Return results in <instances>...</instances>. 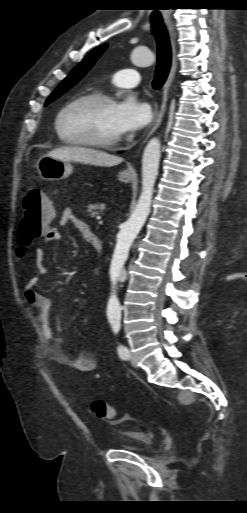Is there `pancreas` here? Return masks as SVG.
Returning <instances> with one entry per match:
<instances>
[{
    "instance_id": "obj_1",
    "label": "pancreas",
    "mask_w": 247,
    "mask_h": 513,
    "mask_svg": "<svg viewBox=\"0 0 247 513\" xmlns=\"http://www.w3.org/2000/svg\"><path fill=\"white\" fill-rule=\"evenodd\" d=\"M105 208V205L102 203H95V204H89L87 206L88 212H90L91 218L96 217L99 215L100 212H102Z\"/></svg>"
}]
</instances>
